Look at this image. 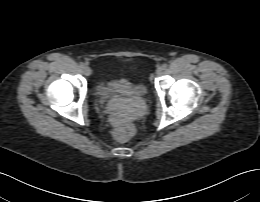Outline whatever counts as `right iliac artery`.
Segmentation results:
<instances>
[{"instance_id": "82829eb1", "label": "right iliac artery", "mask_w": 260, "mask_h": 202, "mask_svg": "<svg viewBox=\"0 0 260 202\" xmlns=\"http://www.w3.org/2000/svg\"><path fill=\"white\" fill-rule=\"evenodd\" d=\"M80 67L81 68H84L85 67V64L83 62L80 63Z\"/></svg>"}]
</instances>
